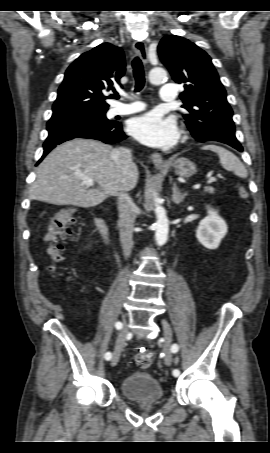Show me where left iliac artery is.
<instances>
[{"label":"left iliac artery","mask_w":270,"mask_h":453,"mask_svg":"<svg viewBox=\"0 0 270 453\" xmlns=\"http://www.w3.org/2000/svg\"><path fill=\"white\" fill-rule=\"evenodd\" d=\"M171 350L173 353H176L179 350V346L177 344H173ZM172 374L174 377H178L180 375V371L178 369H174Z\"/></svg>","instance_id":"1"}]
</instances>
